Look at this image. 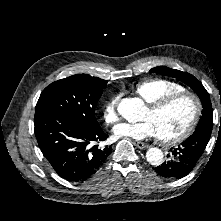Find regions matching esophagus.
Instances as JSON below:
<instances>
[{
    "instance_id": "1",
    "label": "esophagus",
    "mask_w": 221,
    "mask_h": 221,
    "mask_svg": "<svg viewBox=\"0 0 221 221\" xmlns=\"http://www.w3.org/2000/svg\"><path fill=\"white\" fill-rule=\"evenodd\" d=\"M136 146H137L139 149H146V148L149 147V145H147V144H145V143H143V142H139V141L136 143Z\"/></svg>"
}]
</instances>
